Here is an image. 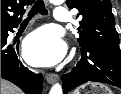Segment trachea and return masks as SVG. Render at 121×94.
I'll return each mask as SVG.
<instances>
[{
  "label": "trachea",
  "mask_w": 121,
  "mask_h": 94,
  "mask_svg": "<svg viewBox=\"0 0 121 94\" xmlns=\"http://www.w3.org/2000/svg\"><path fill=\"white\" fill-rule=\"evenodd\" d=\"M38 13L44 16L48 14V11L45 8L43 0H37L35 2L32 9L28 13V17L23 22H28L29 20H31L32 17H34Z\"/></svg>",
  "instance_id": "3493384b"
}]
</instances>
